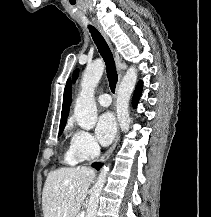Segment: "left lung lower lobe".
I'll use <instances>...</instances> for the list:
<instances>
[{
  "label": "left lung lower lobe",
  "mask_w": 211,
  "mask_h": 217,
  "mask_svg": "<svg viewBox=\"0 0 211 217\" xmlns=\"http://www.w3.org/2000/svg\"><path fill=\"white\" fill-rule=\"evenodd\" d=\"M141 91H142V81H139V83L135 89L134 95H133V100H132L133 107L137 106L138 100H139L140 95H141Z\"/></svg>",
  "instance_id": "left-lung-lower-lobe-1"
}]
</instances>
